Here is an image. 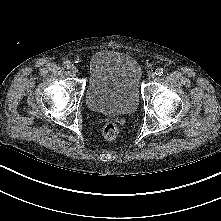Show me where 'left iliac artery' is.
Listing matches in <instances>:
<instances>
[{
  "label": "left iliac artery",
  "instance_id": "44dca946",
  "mask_svg": "<svg viewBox=\"0 0 221 221\" xmlns=\"http://www.w3.org/2000/svg\"><path fill=\"white\" fill-rule=\"evenodd\" d=\"M155 74H156L157 76H162V75L164 74V69H163V68H157V69L155 70Z\"/></svg>",
  "mask_w": 221,
  "mask_h": 221
}]
</instances>
